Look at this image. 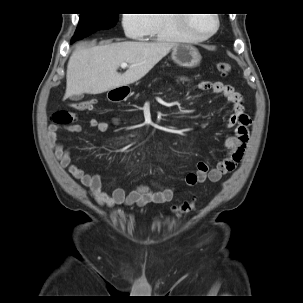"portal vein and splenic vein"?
Segmentation results:
<instances>
[{"label":"portal vein and splenic vein","instance_id":"18ae733b","mask_svg":"<svg viewBox=\"0 0 303 303\" xmlns=\"http://www.w3.org/2000/svg\"><path fill=\"white\" fill-rule=\"evenodd\" d=\"M128 67V64L127 63H121V68L125 69Z\"/></svg>","mask_w":303,"mask_h":303}]
</instances>
